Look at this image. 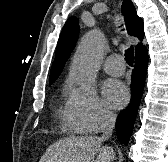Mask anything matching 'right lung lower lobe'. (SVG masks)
Returning <instances> with one entry per match:
<instances>
[{
  "instance_id": "right-lung-lower-lobe-1",
  "label": "right lung lower lobe",
  "mask_w": 168,
  "mask_h": 162,
  "mask_svg": "<svg viewBox=\"0 0 168 162\" xmlns=\"http://www.w3.org/2000/svg\"><path fill=\"white\" fill-rule=\"evenodd\" d=\"M148 58L147 50L136 54L135 67L132 71L131 101L128 107L123 110L117 118L115 126L117 137L124 145L128 144L132 135L134 122L144 89Z\"/></svg>"
}]
</instances>
